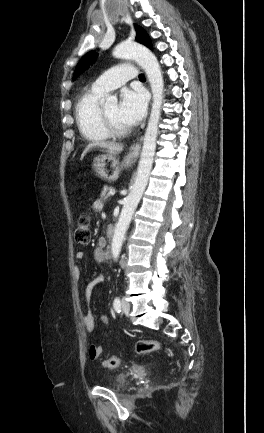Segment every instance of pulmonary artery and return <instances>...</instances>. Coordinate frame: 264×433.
<instances>
[{"mask_svg": "<svg viewBox=\"0 0 264 433\" xmlns=\"http://www.w3.org/2000/svg\"><path fill=\"white\" fill-rule=\"evenodd\" d=\"M136 78L137 74L135 67L132 64L123 63L110 68L98 77L94 81L92 88L96 91L106 93L117 89L127 81Z\"/></svg>", "mask_w": 264, "mask_h": 433, "instance_id": "obj_1", "label": "pulmonary artery"}]
</instances>
